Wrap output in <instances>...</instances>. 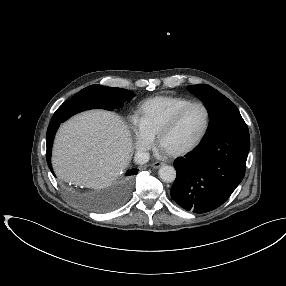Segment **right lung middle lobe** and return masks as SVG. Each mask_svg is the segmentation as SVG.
<instances>
[{"instance_id": "right-lung-middle-lobe-1", "label": "right lung middle lobe", "mask_w": 286, "mask_h": 286, "mask_svg": "<svg viewBox=\"0 0 286 286\" xmlns=\"http://www.w3.org/2000/svg\"><path fill=\"white\" fill-rule=\"evenodd\" d=\"M135 94L123 88H112L102 85H90L78 92L70 100L64 102L53 117L62 122L84 110L101 108L113 111L123 106ZM129 182V180L127 181Z\"/></svg>"}]
</instances>
